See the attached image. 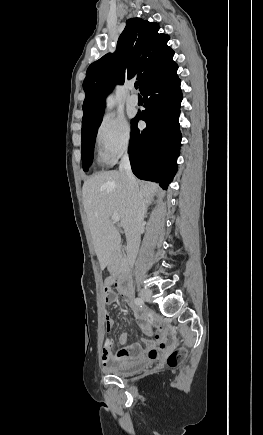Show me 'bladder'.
Wrapping results in <instances>:
<instances>
[{
    "instance_id": "bladder-1",
    "label": "bladder",
    "mask_w": 263,
    "mask_h": 435,
    "mask_svg": "<svg viewBox=\"0 0 263 435\" xmlns=\"http://www.w3.org/2000/svg\"><path fill=\"white\" fill-rule=\"evenodd\" d=\"M149 364V360H140L133 363L116 364L112 367H109L107 371L108 373L116 376L126 377L139 372Z\"/></svg>"
}]
</instances>
